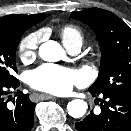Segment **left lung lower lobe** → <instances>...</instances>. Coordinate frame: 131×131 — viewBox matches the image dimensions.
Returning a JSON list of instances; mask_svg holds the SVG:
<instances>
[{
	"label": "left lung lower lobe",
	"mask_w": 131,
	"mask_h": 131,
	"mask_svg": "<svg viewBox=\"0 0 131 131\" xmlns=\"http://www.w3.org/2000/svg\"><path fill=\"white\" fill-rule=\"evenodd\" d=\"M93 96L99 95L92 91ZM101 113L93 111L82 121L76 122L77 131H131V96L101 93Z\"/></svg>",
	"instance_id": "left-lung-lower-lobe-1"
}]
</instances>
